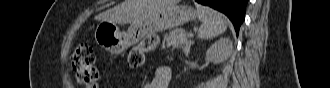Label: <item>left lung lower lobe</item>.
Returning <instances> with one entry per match:
<instances>
[{
    "mask_svg": "<svg viewBox=\"0 0 330 88\" xmlns=\"http://www.w3.org/2000/svg\"><path fill=\"white\" fill-rule=\"evenodd\" d=\"M203 5L210 6L225 15L232 21L236 34L245 18L247 0H195Z\"/></svg>",
    "mask_w": 330,
    "mask_h": 88,
    "instance_id": "1",
    "label": "left lung lower lobe"
}]
</instances>
